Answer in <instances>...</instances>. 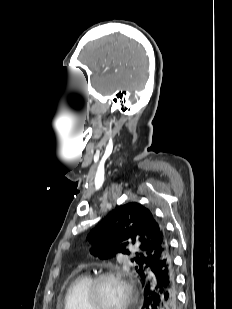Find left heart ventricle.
I'll return each mask as SVG.
<instances>
[{"label": "left heart ventricle", "instance_id": "b2bd125f", "mask_svg": "<svg viewBox=\"0 0 232 309\" xmlns=\"http://www.w3.org/2000/svg\"><path fill=\"white\" fill-rule=\"evenodd\" d=\"M126 301V290L117 280H106L99 288L101 309H122Z\"/></svg>", "mask_w": 232, "mask_h": 309}]
</instances>
